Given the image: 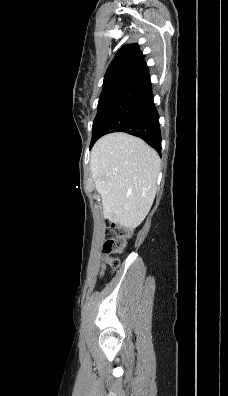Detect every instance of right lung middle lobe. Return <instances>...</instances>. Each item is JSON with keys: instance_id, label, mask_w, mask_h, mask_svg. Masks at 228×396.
<instances>
[{"instance_id": "obj_1", "label": "right lung middle lobe", "mask_w": 228, "mask_h": 396, "mask_svg": "<svg viewBox=\"0 0 228 396\" xmlns=\"http://www.w3.org/2000/svg\"><path fill=\"white\" fill-rule=\"evenodd\" d=\"M126 86L123 85H108V86H103V90L101 92L99 102H98V111L97 115L93 121V130H92V136L94 134V128L95 125L98 121V119L101 117L102 113L105 111V109L108 107V105L114 100L116 96L125 88Z\"/></svg>"}]
</instances>
